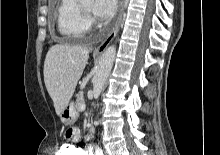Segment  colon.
I'll use <instances>...</instances> for the list:
<instances>
[{
  "instance_id": "obj_1",
  "label": "colon",
  "mask_w": 220,
  "mask_h": 155,
  "mask_svg": "<svg viewBox=\"0 0 220 155\" xmlns=\"http://www.w3.org/2000/svg\"><path fill=\"white\" fill-rule=\"evenodd\" d=\"M59 155H83V150L79 146H60Z\"/></svg>"
}]
</instances>
